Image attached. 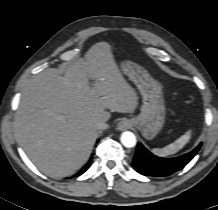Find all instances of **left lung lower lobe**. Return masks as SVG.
<instances>
[{"mask_svg": "<svg viewBox=\"0 0 218 210\" xmlns=\"http://www.w3.org/2000/svg\"><path fill=\"white\" fill-rule=\"evenodd\" d=\"M200 147L201 144L191 152L179 157L161 158L153 155L141 143H138L132 166L142 175L168 176L185 167L197 154Z\"/></svg>", "mask_w": 218, "mask_h": 210, "instance_id": "obj_1", "label": "left lung lower lobe"}]
</instances>
